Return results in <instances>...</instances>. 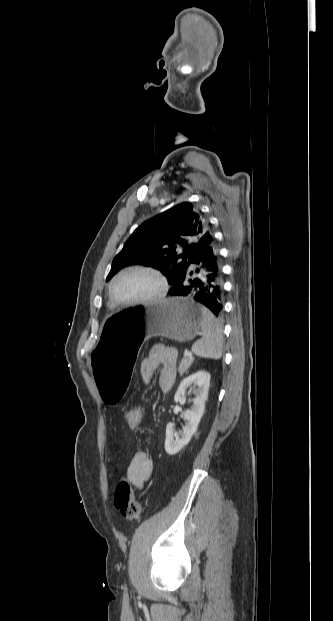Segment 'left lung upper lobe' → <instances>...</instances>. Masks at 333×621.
<instances>
[{
    "instance_id": "1",
    "label": "left lung upper lobe",
    "mask_w": 333,
    "mask_h": 621,
    "mask_svg": "<svg viewBox=\"0 0 333 621\" xmlns=\"http://www.w3.org/2000/svg\"><path fill=\"white\" fill-rule=\"evenodd\" d=\"M208 230L207 219L191 203H180L133 232L114 258L106 280L125 266L139 264L159 270L173 286L196 243Z\"/></svg>"
}]
</instances>
